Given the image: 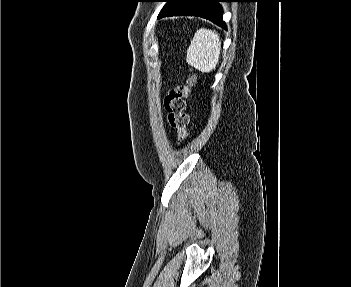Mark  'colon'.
Returning <instances> with one entry per match:
<instances>
[{
    "instance_id": "1",
    "label": "colon",
    "mask_w": 351,
    "mask_h": 287,
    "mask_svg": "<svg viewBox=\"0 0 351 287\" xmlns=\"http://www.w3.org/2000/svg\"><path fill=\"white\" fill-rule=\"evenodd\" d=\"M195 80V75L191 74L186 84L174 86L164 100L168 121L176 132L178 142H182L188 135L189 115L186 112L187 99Z\"/></svg>"
}]
</instances>
